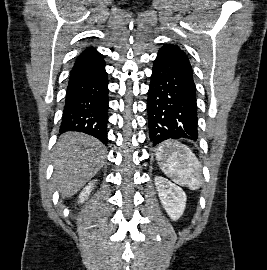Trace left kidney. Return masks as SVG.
<instances>
[{"mask_svg":"<svg viewBox=\"0 0 267 270\" xmlns=\"http://www.w3.org/2000/svg\"><path fill=\"white\" fill-rule=\"evenodd\" d=\"M154 181L161 204L167 214L172 220L179 219L186 207L187 197L185 192L179 186L163 177L156 176Z\"/></svg>","mask_w":267,"mask_h":270,"instance_id":"5707ae66","label":"left kidney"}]
</instances>
